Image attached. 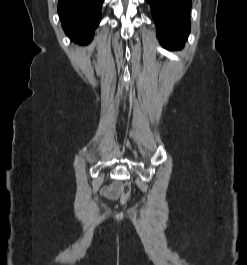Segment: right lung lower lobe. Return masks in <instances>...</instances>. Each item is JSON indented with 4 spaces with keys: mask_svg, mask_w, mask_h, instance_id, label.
Listing matches in <instances>:
<instances>
[{
    "mask_svg": "<svg viewBox=\"0 0 247 265\" xmlns=\"http://www.w3.org/2000/svg\"><path fill=\"white\" fill-rule=\"evenodd\" d=\"M104 0H59L58 13L66 34L80 44H87L101 19Z\"/></svg>",
    "mask_w": 247,
    "mask_h": 265,
    "instance_id": "1",
    "label": "right lung lower lobe"
}]
</instances>
